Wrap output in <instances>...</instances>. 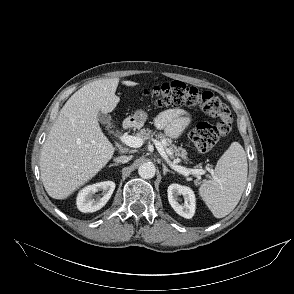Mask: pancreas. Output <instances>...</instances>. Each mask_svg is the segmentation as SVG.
<instances>
[{"label": "pancreas", "mask_w": 294, "mask_h": 294, "mask_svg": "<svg viewBox=\"0 0 294 294\" xmlns=\"http://www.w3.org/2000/svg\"><path fill=\"white\" fill-rule=\"evenodd\" d=\"M137 137L143 139V140H153L154 136L155 139L159 140L162 145L170 151L171 154H169L170 158H179L181 157L184 160H187V153L185 149L182 147H177L171 138L167 137L165 134L162 132H153L149 128H143L136 134Z\"/></svg>", "instance_id": "1"}]
</instances>
